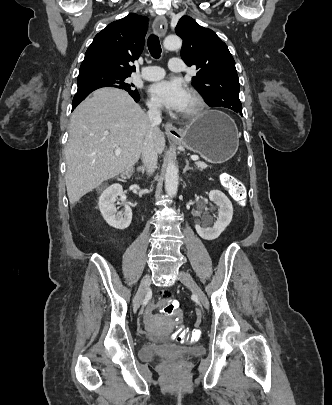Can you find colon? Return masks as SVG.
I'll use <instances>...</instances> for the list:
<instances>
[{"instance_id":"obj_1","label":"colon","mask_w":332,"mask_h":405,"mask_svg":"<svg viewBox=\"0 0 332 405\" xmlns=\"http://www.w3.org/2000/svg\"><path fill=\"white\" fill-rule=\"evenodd\" d=\"M221 183L228 190L230 195L238 203L243 204L246 198V189L244 184L236 177L230 174L221 175ZM157 304L162 310V318L167 319L170 328L174 333H170V342L193 343L199 338L201 332L200 325H181L180 319L186 317V309L181 306L179 299H175L173 294L170 297L157 296Z\"/></svg>"}]
</instances>
